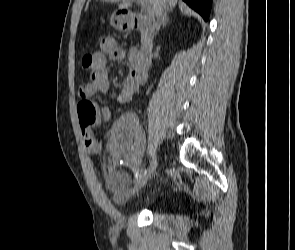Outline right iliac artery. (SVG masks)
I'll return each instance as SVG.
<instances>
[{"label":"right iliac artery","mask_w":295,"mask_h":250,"mask_svg":"<svg viewBox=\"0 0 295 250\" xmlns=\"http://www.w3.org/2000/svg\"><path fill=\"white\" fill-rule=\"evenodd\" d=\"M154 162H152L153 164ZM152 164H151V167H152ZM150 170V168H149ZM148 171V169H141V170H138L136 173H135V177L138 178V177H141L142 175L146 174Z\"/></svg>","instance_id":"right-iliac-artery-1"}]
</instances>
